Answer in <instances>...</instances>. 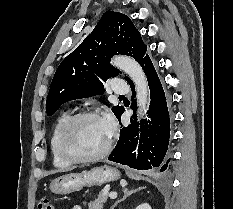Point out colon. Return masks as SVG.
<instances>
[{
	"mask_svg": "<svg viewBox=\"0 0 233 209\" xmlns=\"http://www.w3.org/2000/svg\"><path fill=\"white\" fill-rule=\"evenodd\" d=\"M37 208L38 209H54L53 204H52L50 198H48V197H42L38 201Z\"/></svg>",
	"mask_w": 233,
	"mask_h": 209,
	"instance_id": "colon-1",
	"label": "colon"
}]
</instances>
